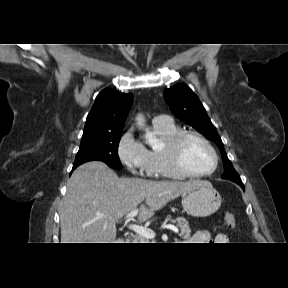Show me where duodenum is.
<instances>
[{"label":"duodenum","mask_w":288,"mask_h":288,"mask_svg":"<svg viewBox=\"0 0 288 288\" xmlns=\"http://www.w3.org/2000/svg\"><path fill=\"white\" fill-rule=\"evenodd\" d=\"M120 241H121L120 243L130 242L129 239H125V238H122Z\"/></svg>","instance_id":"410a0bca"}]
</instances>
